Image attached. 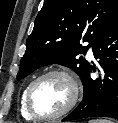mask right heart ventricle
Returning a JSON list of instances; mask_svg holds the SVG:
<instances>
[{
	"label": "right heart ventricle",
	"mask_w": 118,
	"mask_h": 123,
	"mask_svg": "<svg viewBox=\"0 0 118 123\" xmlns=\"http://www.w3.org/2000/svg\"><path fill=\"white\" fill-rule=\"evenodd\" d=\"M30 84H31V82L28 83L24 87V89L21 93L20 102H19L20 114L26 120H34L33 117L28 113L27 108H26V93H27V90H28V87L30 86Z\"/></svg>",
	"instance_id": "right-heart-ventricle-1"
}]
</instances>
